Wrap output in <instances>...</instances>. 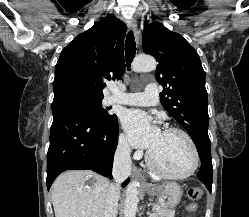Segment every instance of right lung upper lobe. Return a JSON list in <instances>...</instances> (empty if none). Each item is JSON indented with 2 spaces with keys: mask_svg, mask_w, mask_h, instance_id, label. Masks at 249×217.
Masks as SVG:
<instances>
[{
  "mask_svg": "<svg viewBox=\"0 0 249 217\" xmlns=\"http://www.w3.org/2000/svg\"><path fill=\"white\" fill-rule=\"evenodd\" d=\"M126 25L108 14L66 46L55 67L54 95L77 91L103 98L105 80L119 79L125 71Z\"/></svg>",
  "mask_w": 249,
  "mask_h": 217,
  "instance_id": "1",
  "label": "right lung upper lobe"
}]
</instances>
